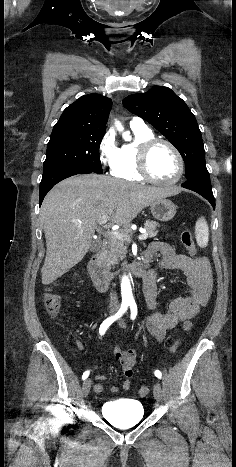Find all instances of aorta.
<instances>
[{
	"label": "aorta",
	"instance_id": "obj_1",
	"mask_svg": "<svg viewBox=\"0 0 236 467\" xmlns=\"http://www.w3.org/2000/svg\"><path fill=\"white\" fill-rule=\"evenodd\" d=\"M115 126L117 127L119 132H122V136L124 139L129 138L128 133L124 132V128L119 121L117 120L115 121ZM121 294H122V299L124 301H133L131 283L127 275H123L122 280H121Z\"/></svg>",
	"mask_w": 236,
	"mask_h": 467
}]
</instances>
